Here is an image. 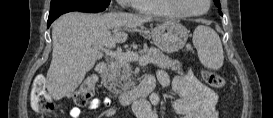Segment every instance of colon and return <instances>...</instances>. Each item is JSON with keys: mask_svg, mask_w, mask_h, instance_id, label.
I'll return each mask as SVG.
<instances>
[{"mask_svg": "<svg viewBox=\"0 0 273 118\" xmlns=\"http://www.w3.org/2000/svg\"><path fill=\"white\" fill-rule=\"evenodd\" d=\"M203 80L214 88H222L225 85L223 77L214 72L203 70ZM98 79L95 75L88 76L74 93V102L79 106L86 105L91 99L94 90L97 86ZM31 104L36 111L54 113L56 105L53 98L46 90V82L43 78L35 79L31 90Z\"/></svg>", "mask_w": 273, "mask_h": 118, "instance_id": "1", "label": "colon"}]
</instances>
